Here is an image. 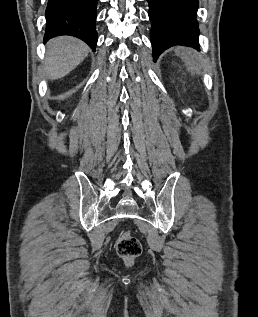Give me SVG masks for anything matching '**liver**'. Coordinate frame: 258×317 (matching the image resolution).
I'll return each mask as SVG.
<instances>
[{"mask_svg":"<svg viewBox=\"0 0 258 317\" xmlns=\"http://www.w3.org/2000/svg\"><path fill=\"white\" fill-rule=\"evenodd\" d=\"M89 52V46L74 38V36H56L47 44L45 58V74L47 78L55 80L71 72L79 62L84 60Z\"/></svg>","mask_w":258,"mask_h":317,"instance_id":"liver-1","label":"liver"}]
</instances>
